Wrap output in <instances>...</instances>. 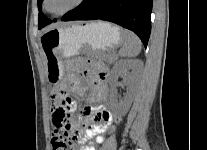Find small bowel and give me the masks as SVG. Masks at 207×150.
<instances>
[{"mask_svg":"<svg viewBox=\"0 0 207 150\" xmlns=\"http://www.w3.org/2000/svg\"><path fill=\"white\" fill-rule=\"evenodd\" d=\"M71 69L79 71L88 83V86H85L77 77L71 75L68 79V87L72 92L83 95L89 87V102L106 100L108 96L106 84L108 71L104 65L96 62H89L85 66L81 63H75ZM67 111H70L71 114L75 111V104L71 99ZM117 120L118 117L109 112L103 104L84 107L81 114L75 117L74 121H71V130H75L78 136L83 134L80 139L81 148L79 150H95L91 144L92 140L95 139L98 143L103 142L104 135L114 129Z\"/></svg>","mask_w":207,"mask_h":150,"instance_id":"small-bowel-1","label":"small bowel"}]
</instances>
